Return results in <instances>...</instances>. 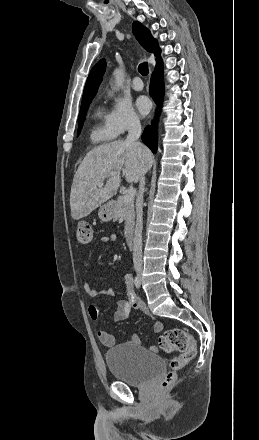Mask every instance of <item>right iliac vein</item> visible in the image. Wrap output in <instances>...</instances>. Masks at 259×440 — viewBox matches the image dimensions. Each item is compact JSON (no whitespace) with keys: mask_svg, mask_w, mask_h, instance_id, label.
<instances>
[{"mask_svg":"<svg viewBox=\"0 0 259 440\" xmlns=\"http://www.w3.org/2000/svg\"><path fill=\"white\" fill-rule=\"evenodd\" d=\"M138 275H139V276L141 275V270H138Z\"/></svg>","mask_w":259,"mask_h":440,"instance_id":"1","label":"right iliac vein"}]
</instances>
